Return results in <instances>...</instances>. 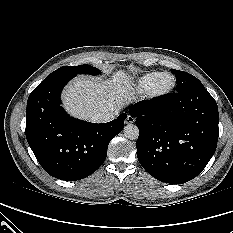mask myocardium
I'll return each mask as SVG.
<instances>
[{
	"label": "myocardium",
	"mask_w": 233,
	"mask_h": 233,
	"mask_svg": "<svg viewBox=\"0 0 233 233\" xmlns=\"http://www.w3.org/2000/svg\"><path fill=\"white\" fill-rule=\"evenodd\" d=\"M164 76H170L171 77V83H170V85L168 87H166L164 89H159L158 88V82ZM176 83H177V80H176V77H175L174 74H172L169 71L161 72L157 76V78L154 80L152 85L150 86L149 90L147 91V95L151 99L163 98V97L169 95L175 89Z\"/></svg>",
	"instance_id": "myocardium-1"
}]
</instances>
